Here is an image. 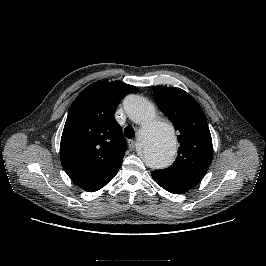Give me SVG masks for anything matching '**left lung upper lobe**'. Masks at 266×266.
<instances>
[{"label":"left lung upper lobe","mask_w":266,"mask_h":266,"mask_svg":"<svg viewBox=\"0 0 266 266\" xmlns=\"http://www.w3.org/2000/svg\"><path fill=\"white\" fill-rule=\"evenodd\" d=\"M155 97L158 107L179 131L180 147L173 165L152 174L188 191L203 179L212 162V138L205 114L198 102L180 88L156 86Z\"/></svg>","instance_id":"obj_1"}]
</instances>
